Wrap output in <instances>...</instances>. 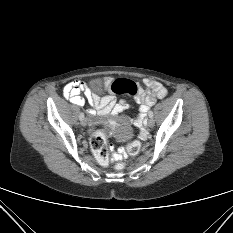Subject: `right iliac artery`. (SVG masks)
Segmentation results:
<instances>
[{"instance_id": "right-iliac-artery-1", "label": "right iliac artery", "mask_w": 233, "mask_h": 233, "mask_svg": "<svg viewBox=\"0 0 233 233\" xmlns=\"http://www.w3.org/2000/svg\"><path fill=\"white\" fill-rule=\"evenodd\" d=\"M84 118V113L81 112L80 115H79V119L82 120Z\"/></svg>"}]
</instances>
